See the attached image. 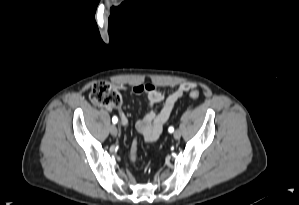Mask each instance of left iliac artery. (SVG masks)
<instances>
[{
    "mask_svg": "<svg viewBox=\"0 0 299 205\" xmlns=\"http://www.w3.org/2000/svg\"><path fill=\"white\" fill-rule=\"evenodd\" d=\"M168 131H169L170 133H172V132L174 131V128L171 126V127H169Z\"/></svg>",
    "mask_w": 299,
    "mask_h": 205,
    "instance_id": "44dca946",
    "label": "left iliac artery"
}]
</instances>
